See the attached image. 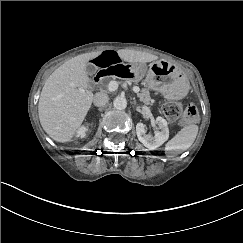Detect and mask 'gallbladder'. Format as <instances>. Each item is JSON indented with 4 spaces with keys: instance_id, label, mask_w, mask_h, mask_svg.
<instances>
[{
    "instance_id": "bac80fb5",
    "label": "gallbladder",
    "mask_w": 243,
    "mask_h": 243,
    "mask_svg": "<svg viewBox=\"0 0 243 243\" xmlns=\"http://www.w3.org/2000/svg\"><path fill=\"white\" fill-rule=\"evenodd\" d=\"M98 70V67L92 63L86 66V73L89 77H92Z\"/></svg>"
}]
</instances>
